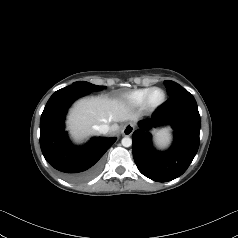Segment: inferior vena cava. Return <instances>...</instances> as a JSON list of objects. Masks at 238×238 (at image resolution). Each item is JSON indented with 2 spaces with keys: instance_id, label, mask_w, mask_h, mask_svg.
Here are the masks:
<instances>
[{
  "instance_id": "obj_1",
  "label": "inferior vena cava",
  "mask_w": 238,
  "mask_h": 238,
  "mask_svg": "<svg viewBox=\"0 0 238 238\" xmlns=\"http://www.w3.org/2000/svg\"><path fill=\"white\" fill-rule=\"evenodd\" d=\"M96 130L101 134H106L109 132L110 127L107 124H101L96 127Z\"/></svg>"
}]
</instances>
